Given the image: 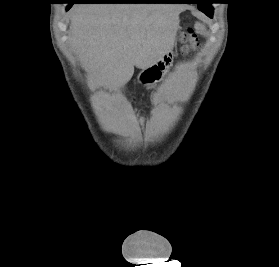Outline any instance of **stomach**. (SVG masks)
I'll list each match as a JSON object with an SVG mask.
<instances>
[{
	"label": "stomach",
	"mask_w": 279,
	"mask_h": 267,
	"mask_svg": "<svg viewBox=\"0 0 279 267\" xmlns=\"http://www.w3.org/2000/svg\"><path fill=\"white\" fill-rule=\"evenodd\" d=\"M173 62V52L170 50L163 54L149 67L142 69L137 76V81L143 85H152L163 79Z\"/></svg>",
	"instance_id": "1"
}]
</instances>
